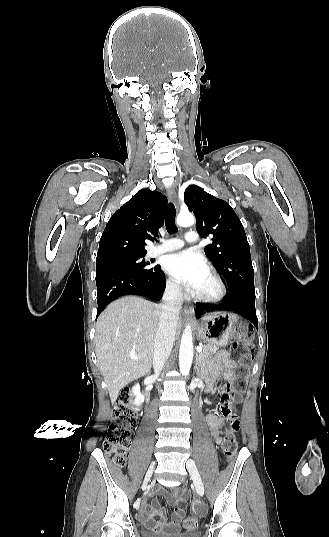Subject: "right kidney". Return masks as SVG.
I'll use <instances>...</instances> for the list:
<instances>
[{"mask_svg":"<svg viewBox=\"0 0 329 537\" xmlns=\"http://www.w3.org/2000/svg\"><path fill=\"white\" fill-rule=\"evenodd\" d=\"M131 396H133V397L135 398L132 402H133L134 405H136L137 407H139V406L144 402V399H145V398H144V396L141 394L140 386H139L138 383L132 388Z\"/></svg>","mask_w":329,"mask_h":537,"instance_id":"ca27d5eb","label":"right kidney"}]
</instances>
